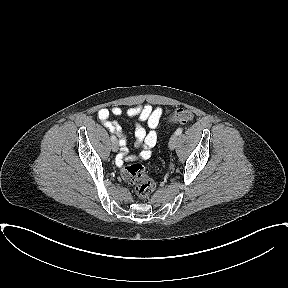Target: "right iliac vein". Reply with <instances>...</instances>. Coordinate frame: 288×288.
I'll return each mask as SVG.
<instances>
[{
  "label": "right iliac vein",
  "instance_id": "1",
  "mask_svg": "<svg viewBox=\"0 0 288 288\" xmlns=\"http://www.w3.org/2000/svg\"><path fill=\"white\" fill-rule=\"evenodd\" d=\"M111 149H112L113 152H117V151H118V149H119V144H118L117 140L112 141Z\"/></svg>",
  "mask_w": 288,
  "mask_h": 288
}]
</instances>
